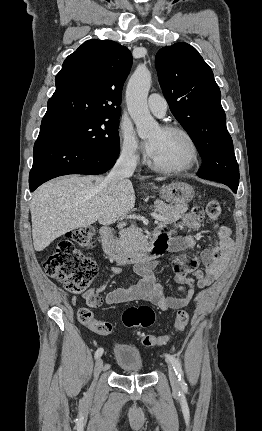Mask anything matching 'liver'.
<instances>
[{
  "label": "liver",
  "mask_w": 262,
  "mask_h": 431,
  "mask_svg": "<svg viewBox=\"0 0 262 431\" xmlns=\"http://www.w3.org/2000/svg\"><path fill=\"white\" fill-rule=\"evenodd\" d=\"M134 205L128 179L117 188L106 184L103 176H65L47 182L35 191L30 205L34 248L42 251L64 233L97 220L110 224Z\"/></svg>",
  "instance_id": "6515ba94"
}]
</instances>
